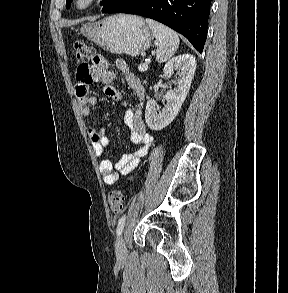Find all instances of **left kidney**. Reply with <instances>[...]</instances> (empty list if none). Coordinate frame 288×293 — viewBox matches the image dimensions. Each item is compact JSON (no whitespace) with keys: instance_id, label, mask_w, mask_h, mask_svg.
I'll return each instance as SVG.
<instances>
[{"instance_id":"obj_1","label":"left kidney","mask_w":288,"mask_h":293,"mask_svg":"<svg viewBox=\"0 0 288 293\" xmlns=\"http://www.w3.org/2000/svg\"><path fill=\"white\" fill-rule=\"evenodd\" d=\"M195 70V57L190 54L174 57L166 63L163 68V78L170 79L175 71L179 78L173 80L175 87L167 91L166 104L162 109L155 100H148L145 120L150 129L161 130L175 119L189 92Z\"/></svg>"}]
</instances>
